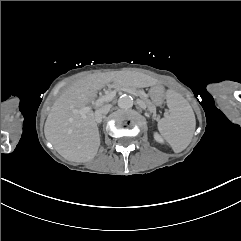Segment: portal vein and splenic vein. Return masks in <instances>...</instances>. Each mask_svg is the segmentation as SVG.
<instances>
[{
	"mask_svg": "<svg viewBox=\"0 0 241 241\" xmlns=\"http://www.w3.org/2000/svg\"><path fill=\"white\" fill-rule=\"evenodd\" d=\"M121 90H124L125 92L131 93L132 95H136V92L134 90L127 89V87H121ZM116 96V90L110 91L104 96L100 97L95 104L98 106L102 104L103 102H110L113 100V98ZM91 110V107L86 106L83 107L80 110L72 109L73 113H79L83 118H86V113Z\"/></svg>",
	"mask_w": 241,
	"mask_h": 241,
	"instance_id": "18ae733b",
	"label": "portal vein and splenic vein"
}]
</instances>
